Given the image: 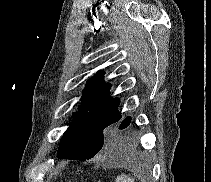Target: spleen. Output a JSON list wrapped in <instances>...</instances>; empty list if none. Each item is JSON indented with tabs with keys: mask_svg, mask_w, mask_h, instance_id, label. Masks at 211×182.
<instances>
[{
	"mask_svg": "<svg viewBox=\"0 0 211 182\" xmlns=\"http://www.w3.org/2000/svg\"><path fill=\"white\" fill-rule=\"evenodd\" d=\"M116 182H134V179L127 175H121L117 177Z\"/></svg>",
	"mask_w": 211,
	"mask_h": 182,
	"instance_id": "3e777b00",
	"label": "spleen"
}]
</instances>
